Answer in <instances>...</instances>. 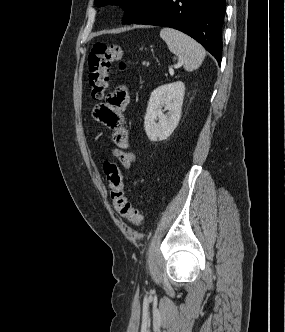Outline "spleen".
I'll use <instances>...</instances> for the list:
<instances>
[{
    "mask_svg": "<svg viewBox=\"0 0 285 332\" xmlns=\"http://www.w3.org/2000/svg\"><path fill=\"white\" fill-rule=\"evenodd\" d=\"M160 37L169 50L178 57L186 71L196 70L203 62L206 51L194 39L173 28H163Z\"/></svg>",
    "mask_w": 285,
    "mask_h": 332,
    "instance_id": "obj_1",
    "label": "spleen"
}]
</instances>
